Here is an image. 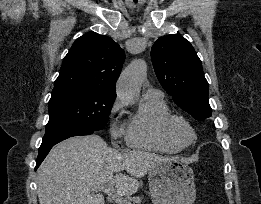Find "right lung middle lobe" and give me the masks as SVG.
I'll return each instance as SVG.
<instances>
[{
    "mask_svg": "<svg viewBox=\"0 0 261 204\" xmlns=\"http://www.w3.org/2000/svg\"><path fill=\"white\" fill-rule=\"evenodd\" d=\"M115 98L92 90H70L52 95L44 137L64 132L103 129Z\"/></svg>",
    "mask_w": 261,
    "mask_h": 204,
    "instance_id": "obj_1",
    "label": "right lung middle lobe"
}]
</instances>
